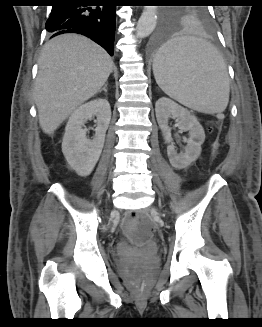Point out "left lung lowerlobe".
<instances>
[{
  "label": "left lung lower lobe",
  "instance_id": "obj_1",
  "mask_svg": "<svg viewBox=\"0 0 262 327\" xmlns=\"http://www.w3.org/2000/svg\"><path fill=\"white\" fill-rule=\"evenodd\" d=\"M169 32L167 28L159 27L149 41V49L152 52L159 51L167 42Z\"/></svg>",
  "mask_w": 262,
  "mask_h": 327
}]
</instances>
